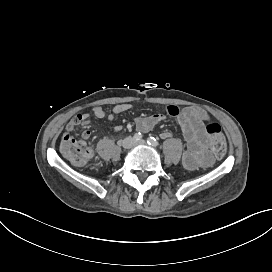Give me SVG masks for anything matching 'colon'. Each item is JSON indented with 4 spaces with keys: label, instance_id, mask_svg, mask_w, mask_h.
<instances>
[{
    "label": "colon",
    "instance_id": "1",
    "mask_svg": "<svg viewBox=\"0 0 272 272\" xmlns=\"http://www.w3.org/2000/svg\"><path fill=\"white\" fill-rule=\"evenodd\" d=\"M209 136L208 144L215 157H221L226 151L225 134L217 123H209L205 128ZM61 150L77 167H86L90 163L88 145L74 137H65L61 141Z\"/></svg>",
    "mask_w": 272,
    "mask_h": 272
}]
</instances>
